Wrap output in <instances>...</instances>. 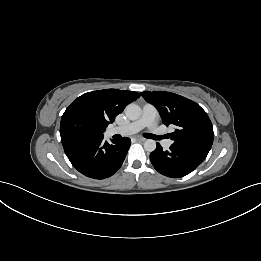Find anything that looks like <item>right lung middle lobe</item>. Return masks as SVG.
Instances as JSON below:
<instances>
[{
	"instance_id": "1",
	"label": "right lung middle lobe",
	"mask_w": 261,
	"mask_h": 261,
	"mask_svg": "<svg viewBox=\"0 0 261 261\" xmlns=\"http://www.w3.org/2000/svg\"><path fill=\"white\" fill-rule=\"evenodd\" d=\"M105 127L92 115L74 111L61 118L60 136H103Z\"/></svg>"
}]
</instances>
